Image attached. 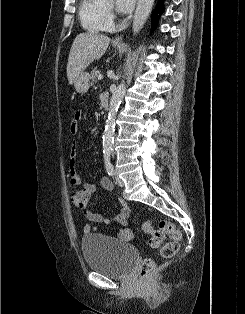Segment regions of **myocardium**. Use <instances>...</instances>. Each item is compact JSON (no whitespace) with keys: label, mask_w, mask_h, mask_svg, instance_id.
<instances>
[{"label":"myocardium","mask_w":245,"mask_h":314,"mask_svg":"<svg viewBox=\"0 0 245 314\" xmlns=\"http://www.w3.org/2000/svg\"><path fill=\"white\" fill-rule=\"evenodd\" d=\"M104 9H105V11L107 12V14L110 13L111 10H112L111 8H104Z\"/></svg>","instance_id":"myocardium-1"}]
</instances>
